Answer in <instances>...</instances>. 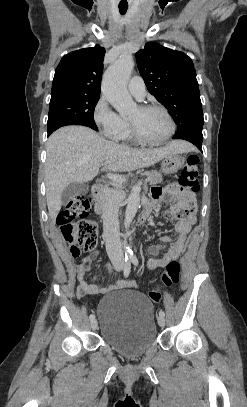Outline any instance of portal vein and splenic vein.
Instances as JSON below:
<instances>
[{
    "instance_id": "portal-vein-and-splenic-vein-1",
    "label": "portal vein and splenic vein",
    "mask_w": 247,
    "mask_h": 407,
    "mask_svg": "<svg viewBox=\"0 0 247 407\" xmlns=\"http://www.w3.org/2000/svg\"><path fill=\"white\" fill-rule=\"evenodd\" d=\"M110 163H111V161H105V162H104L105 167L109 166ZM107 177H108L109 179H111L112 181L116 182V183H123V182H125V180H126V178H125L124 176L118 175V174H111V173H108V174H107ZM149 180H150L149 178H146V182H148Z\"/></svg>"
}]
</instances>
